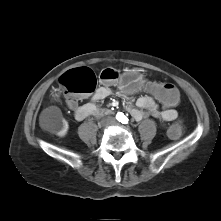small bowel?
I'll list each match as a JSON object with an SVG mask.
<instances>
[{"mask_svg":"<svg viewBox=\"0 0 221 221\" xmlns=\"http://www.w3.org/2000/svg\"><path fill=\"white\" fill-rule=\"evenodd\" d=\"M149 83L150 82H143L141 88L147 91V85ZM111 92L112 90L109 86L102 85L92 93L87 103L80 105L77 98H74L67 99V105L79 121L89 116H97L101 111L97 103L108 97ZM122 96L125 99V108L135 120L139 121L143 118L154 117L166 122H171L178 117V112L175 108H165L158 100L149 94L140 96L136 100H133L127 92H123Z\"/></svg>","mask_w":221,"mask_h":221,"instance_id":"c3829d8e","label":"small bowel"}]
</instances>
